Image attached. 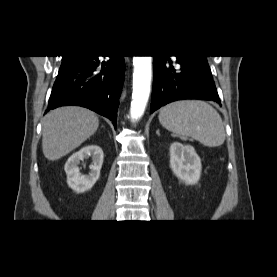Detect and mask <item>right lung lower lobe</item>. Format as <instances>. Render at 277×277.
I'll return each mask as SVG.
<instances>
[{
	"label": "right lung lower lobe",
	"mask_w": 277,
	"mask_h": 277,
	"mask_svg": "<svg viewBox=\"0 0 277 277\" xmlns=\"http://www.w3.org/2000/svg\"><path fill=\"white\" fill-rule=\"evenodd\" d=\"M84 55L58 73L46 112L59 106L87 107L112 120L116 126V112L124 82V56Z\"/></svg>",
	"instance_id": "98d812e1"
}]
</instances>
